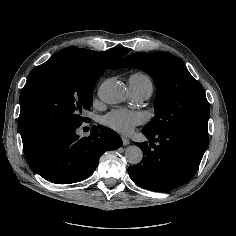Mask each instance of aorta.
<instances>
[{
  "instance_id": "aorta-1",
  "label": "aorta",
  "mask_w": 236,
  "mask_h": 236,
  "mask_svg": "<svg viewBox=\"0 0 236 236\" xmlns=\"http://www.w3.org/2000/svg\"><path fill=\"white\" fill-rule=\"evenodd\" d=\"M98 96L107 104L120 103L125 97V87L118 81L108 79L100 85ZM124 155L127 162L133 165L140 163L143 158L142 150L135 145L127 147Z\"/></svg>"
}]
</instances>
